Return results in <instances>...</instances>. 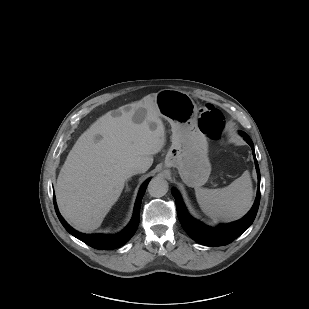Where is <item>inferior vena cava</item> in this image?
<instances>
[{
	"label": "inferior vena cava",
	"mask_w": 309,
	"mask_h": 309,
	"mask_svg": "<svg viewBox=\"0 0 309 309\" xmlns=\"http://www.w3.org/2000/svg\"><path fill=\"white\" fill-rule=\"evenodd\" d=\"M143 172L144 169L141 166H134L127 171V177Z\"/></svg>",
	"instance_id": "602c4592"
}]
</instances>
